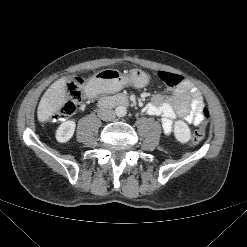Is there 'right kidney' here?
Here are the masks:
<instances>
[{"label": "right kidney", "mask_w": 247, "mask_h": 247, "mask_svg": "<svg viewBox=\"0 0 247 247\" xmlns=\"http://www.w3.org/2000/svg\"><path fill=\"white\" fill-rule=\"evenodd\" d=\"M76 124L72 120L63 122L56 131V139L60 143H65L69 141L75 131Z\"/></svg>", "instance_id": "1"}]
</instances>
